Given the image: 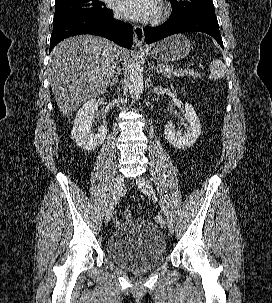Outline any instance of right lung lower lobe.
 I'll list each match as a JSON object with an SVG mask.
<instances>
[{
  "label": "right lung lower lobe",
  "instance_id": "right-lung-lower-lobe-1",
  "mask_svg": "<svg viewBox=\"0 0 272 303\" xmlns=\"http://www.w3.org/2000/svg\"><path fill=\"white\" fill-rule=\"evenodd\" d=\"M79 34H93L131 48L133 28L130 24L113 19V11L106 14L83 13L53 22L50 51L63 39Z\"/></svg>",
  "mask_w": 272,
  "mask_h": 303
}]
</instances>
